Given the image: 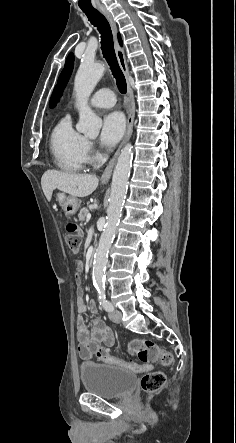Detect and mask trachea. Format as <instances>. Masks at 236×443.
<instances>
[{
    "label": "trachea",
    "instance_id": "trachea-1",
    "mask_svg": "<svg viewBox=\"0 0 236 443\" xmlns=\"http://www.w3.org/2000/svg\"><path fill=\"white\" fill-rule=\"evenodd\" d=\"M82 11L86 14L91 24L97 27L101 34V49L103 57L110 66L119 91L122 94H125L127 91L126 79L116 58L113 35L109 22L97 9H82Z\"/></svg>",
    "mask_w": 236,
    "mask_h": 443
}]
</instances>
